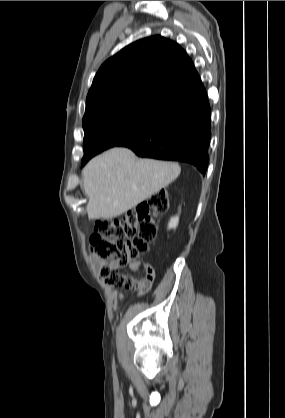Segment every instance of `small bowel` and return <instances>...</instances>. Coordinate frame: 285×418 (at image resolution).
I'll use <instances>...</instances> for the list:
<instances>
[{"label": "small bowel", "mask_w": 285, "mask_h": 418, "mask_svg": "<svg viewBox=\"0 0 285 418\" xmlns=\"http://www.w3.org/2000/svg\"><path fill=\"white\" fill-rule=\"evenodd\" d=\"M90 262L92 263L95 269L100 270V262L97 258H95L94 256H91ZM137 266L144 267V275L141 279L136 280L130 276H123L121 280L125 283L124 285L125 287L133 289V288H136L137 285H139L140 287H142V291L145 292L150 288V286L152 285L154 281V278H155L154 268L151 264L143 263L141 260L133 264V268ZM114 299L116 301H121L122 296L116 293L114 294Z\"/></svg>", "instance_id": "1"}]
</instances>
